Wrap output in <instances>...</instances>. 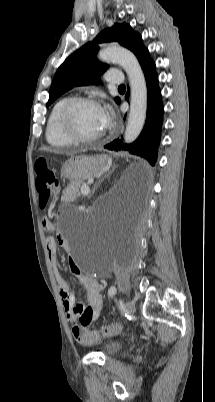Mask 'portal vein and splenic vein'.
<instances>
[{
	"label": "portal vein and splenic vein",
	"mask_w": 215,
	"mask_h": 402,
	"mask_svg": "<svg viewBox=\"0 0 215 402\" xmlns=\"http://www.w3.org/2000/svg\"><path fill=\"white\" fill-rule=\"evenodd\" d=\"M89 192H90V189H89L88 186L83 187V188L81 189V193H82L83 195H88Z\"/></svg>",
	"instance_id": "18ae733b"
}]
</instances>
